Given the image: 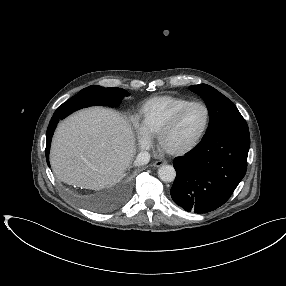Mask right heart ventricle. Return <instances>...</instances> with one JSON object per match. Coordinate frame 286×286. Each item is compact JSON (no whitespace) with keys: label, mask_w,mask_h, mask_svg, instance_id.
I'll return each instance as SVG.
<instances>
[{"label":"right heart ventricle","mask_w":286,"mask_h":286,"mask_svg":"<svg viewBox=\"0 0 286 286\" xmlns=\"http://www.w3.org/2000/svg\"><path fill=\"white\" fill-rule=\"evenodd\" d=\"M192 100L177 96H155L146 100L141 109V127L150 136L157 135L162 126Z\"/></svg>","instance_id":"e07e8e85"}]
</instances>
